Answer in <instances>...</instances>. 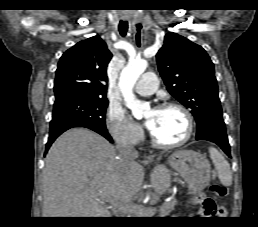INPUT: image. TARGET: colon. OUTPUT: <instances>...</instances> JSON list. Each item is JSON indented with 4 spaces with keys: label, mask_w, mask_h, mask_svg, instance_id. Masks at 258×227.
<instances>
[{
    "label": "colon",
    "mask_w": 258,
    "mask_h": 227,
    "mask_svg": "<svg viewBox=\"0 0 258 227\" xmlns=\"http://www.w3.org/2000/svg\"><path fill=\"white\" fill-rule=\"evenodd\" d=\"M210 190L218 197H225L227 195V188L218 183L211 185Z\"/></svg>",
    "instance_id": "colon-1"
}]
</instances>
